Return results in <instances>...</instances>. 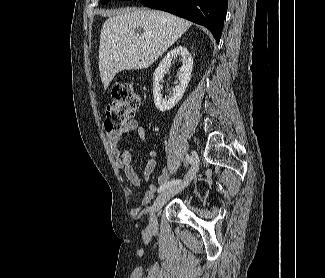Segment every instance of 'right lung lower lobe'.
<instances>
[{"label": "right lung lower lobe", "mask_w": 325, "mask_h": 278, "mask_svg": "<svg viewBox=\"0 0 325 278\" xmlns=\"http://www.w3.org/2000/svg\"><path fill=\"white\" fill-rule=\"evenodd\" d=\"M150 8L170 12L209 29L218 43L228 0H140Z\"/></svg>", "instance_id": "1"}]
</instances>
